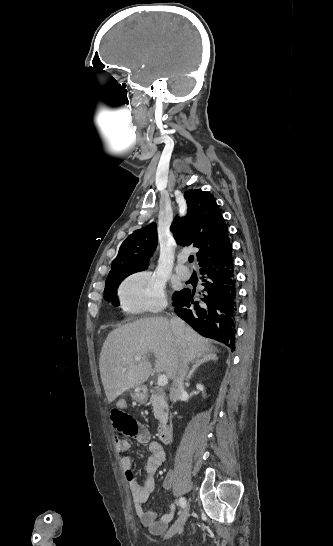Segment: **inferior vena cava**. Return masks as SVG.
Listing matches in <instances>:
<instances>
[{
    "mask_svg": "<svg viewBox=\"0 0 333 546\" xmlns=\"http://www.w3.org/2000/svg\"><path fill=\"white\" fill-rule=\"evenodd\" d=\"M170 327L175 335V337L178 340H182L184 338V331H183V322L173 317L170 320ZM188 370V360L185 356L181 358L180 368L173 380L171 390H170V399L172 402H176L180 396L184 393V379L186 376Z\"/></svg>",
    "mask_w": 333,
    "mask_h": 546,
    "instance_id": "1",
    "label": "inferior vena cava"
}]
</instances>
